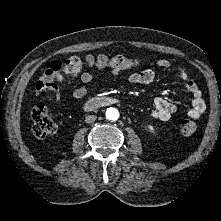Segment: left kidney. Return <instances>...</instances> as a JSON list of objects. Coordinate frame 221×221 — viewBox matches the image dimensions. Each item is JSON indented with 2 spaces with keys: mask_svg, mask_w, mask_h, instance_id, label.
Segmentation results:
<instances>
[{
  "mask_svg": "<svg viewBox=\"0 0 221 221\" xmlns=\"http://www.w3.org/2000/svg\"><path fill=\"white\" fill-rule=\"evenodd\" d=\"M148 128H149L150 130H152V131H153V127H152V126H148Z\"/></svg>",
  "mask_w": 221,
  "mask_h": 221,
  "instance_id": "1",
  "label": "left kidney"
}]
</instances>
